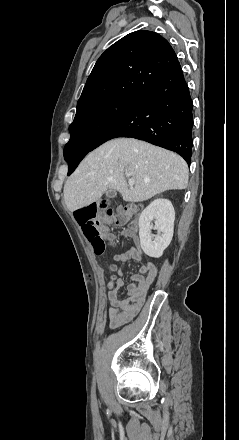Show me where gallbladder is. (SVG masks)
Segmentation results:
<instances>
[{"label":"gallbladder","mask_w":239,"mask_h":440,"mask_svg":"<svg viewBox=\"0 0 239 440\" xmlns=\"http://www.w3.org/2000/svg\"><path fill=\"white\" fill-rule=\"evenodd\" d=\"M116 194V190H108V192H106L107 198H115Z\"/></svg>","instance_id":"bac80fb5"}]
</instances>
